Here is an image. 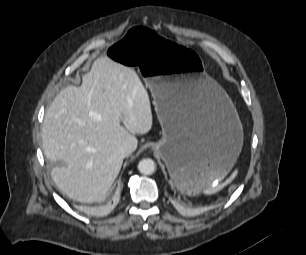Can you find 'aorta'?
Segmentation results:
<instances>
[{
	"label": "aorta",
	"instance_id": "obj_1",
	"mask_svg": "<svg viewBox=\"0 0 306 255\" xmlns=\"http://www.w3.org/2000/svg\"><path fill=\"white\" fill-rule=\"evenodd\" d=\"M138 170L142 174L151 175L156 170L155 162L150 158L142 159L138 163Z\"/></svg>",
	"mask_w": 306,
	"mask_h": 255
}]
</instances>
